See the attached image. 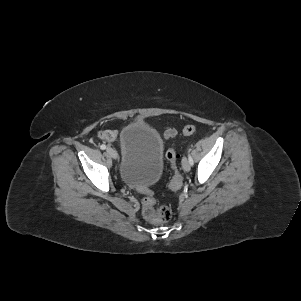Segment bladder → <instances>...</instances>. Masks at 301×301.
<instances>
[{
  "instance_id": "1",
  "label": "bladder",
  "mask_w": 301,
  "mask_h": 301,
  "mask_svg": "<svg viewBox=\"0 0 301 301\" xmlns=\"http://www.w3.org/2000/svg\"><path fill=\"white\" fill-rule=\"evenodd\" d=\"M122 180L133 186L156 183L163 169V142L157 131L145 122H132L120 134Z\"/></svg>"
}]
</instances>
